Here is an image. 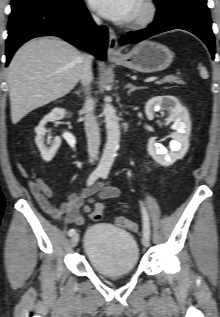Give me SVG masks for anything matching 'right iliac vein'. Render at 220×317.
<instances>
[{
	"label": "right iliac vein",
	"mask_w": 220,
	"mask_h": 317,
	"mask_svg": "<svg viewBox=\"0 0 220 317\" xmlns=\"http://www.w3.org/2000/svg\"><path fill=\"white\" fill-rule=\"evenodd\" d=\"M78 241H79V234L76 233V234H74V235L72 236V238H71V240H70L71 246H72V247L77 246Z\"/></svg>",
	"instance_id": "1"
}]
</instances>
